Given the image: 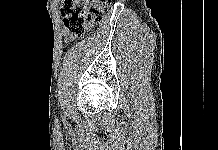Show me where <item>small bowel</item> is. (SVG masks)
<instances>
[{"instance_id": "obj_1", "label": "small bowel", "mask_w": 218, "mask_h": 150, "mask_svg": "<svg viewBox=\"0 0 218 150\" xmlns=\"http://www.w3.org/2000/svg\"><path fill=\"white\" fill-rule=\"evenodd\" d=\"M63 36L65 41H71L73 39V35L66 28L63 29Z\"/></svg>"}]
</instances>
